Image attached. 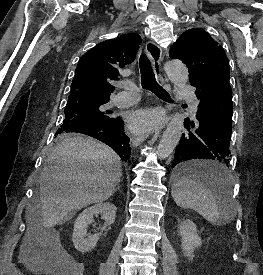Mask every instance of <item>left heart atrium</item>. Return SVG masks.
<instances>
[{
    "label": "left heart atrium",
    "instance_id": "1",
    "mask_svg": "<svg viewBox=\"0 0 263 275\" xmlns=\"http://www.w3.org/2000/svg\"><path fill=\"white\" fill-rule=\"evenodd\" d=\"M158 117L151 111H138L132 114L129 119V127L135 133H142L151 129L157 123Z\"/></svg>",
    "mask_w": 263,
    "mask_h": 275
}]
</instances>
